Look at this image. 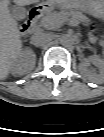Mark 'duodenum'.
Masks as SVG:
<instances>
[{
    "label": "duodenum",
    "instance_id": "410a0bca",
    "mask_svg": "<svg viewBox=\"0 0 104 137\" xmlns=\"http://www.w3.org/2000/svg\"><path fill=\"white\" fill-rule=\"evenodd\" d=\"M49 10H50V7L47 4H41V5H38L37 7L33 8L29 12L26 20L23 23V32L26 35H31L34 31V27H35V24H36L38 18L41 15L47 13Z\"/></svg>",
    "mask_w": 104,
    "mask_h": 137
}]
</instances>
